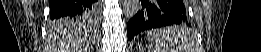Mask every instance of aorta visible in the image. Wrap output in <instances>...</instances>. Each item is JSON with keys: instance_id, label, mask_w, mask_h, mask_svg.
<instances>
[{"instance_id": "obj_1", "label": "aorta", "mask_w": 261, "mask_h": 52, "mask_svg": "<svg viewBox=\"0 0 261 52\" xmlns=\"http://www.w3.org/2000/svg\"><path fill=\"white\" fill-rule=\"evenodd\" d=\"M140 9L139 0H123V13L126 18H133Z\"/></svg>"}]
</instances>
